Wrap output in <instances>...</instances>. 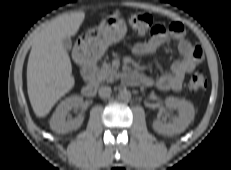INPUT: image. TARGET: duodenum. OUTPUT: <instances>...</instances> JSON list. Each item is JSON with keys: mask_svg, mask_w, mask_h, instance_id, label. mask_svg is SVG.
<instances>
[{"mask_svg": "<svg viewBox=\"0 0 231 170\" xmlns=\"http://www.w3.org/2000/svg\"><path fill=\"white\" fill-rule=\"evenodd\" d=\"M77 59L82 65V77L87 82L83 88V94L88 98L94 97L98 87L97 80L95 79L96 64L83 55H77ZM130 79L138 82V75L130 74Z\"/></svg>", "mask_w": 231, "mask_h": 170, "instance_id": "1", "label": "duodenum"}]
</instances>
